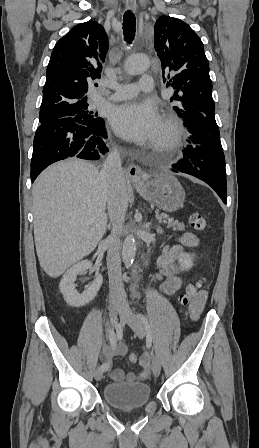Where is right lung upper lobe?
<instances>
[{"label":"right lung upper lobe","mask_w":259,"mask_h":448,"mask_svg":"<svg viewBox=\"0 0 259 448\" xmlns=\"http://www.w3.org/2000/svg\"><path fill=\"white\" fill-rule=\"evenodd\" d=\"M108 37L96 21L80 23L55 45L46 71L40 114L88 105V81L100 78Z\"/></svg>","instance_id":"1"}]
</instances>
